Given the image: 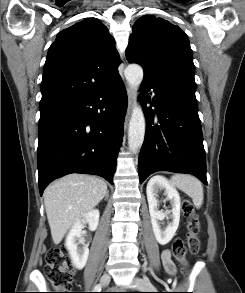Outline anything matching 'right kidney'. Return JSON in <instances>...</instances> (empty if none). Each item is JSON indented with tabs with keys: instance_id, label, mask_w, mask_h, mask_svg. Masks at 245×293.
<instances>
[{
	"instance_id": "obj_1",
	"label": "right kidney",
	"mask_w": 245,
	"mask_h": 293,
	"mask_svg": "<svg viewBox=\"0 0 245 293\" xmlns=\"http://www.w3.org/2000/svg\"><path fill=\"white\" fill-rule=\"evenodd\" d=\"M82 223H88L89 230L95 231L99 223V211L91 210L82 219L77 220L66 237L65 246L69 251L72 263L79 270L84 268L89 255L88 246L82 238Z\"/></svg>"
}]
</instances>
